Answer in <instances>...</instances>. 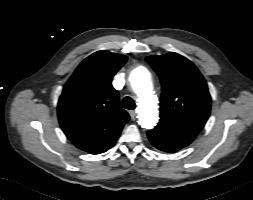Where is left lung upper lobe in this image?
Masks as SVG:
<instances>
[{"instance_id": "5c2ea615", "label": "left lung upper lobe", "mask_w": 253, "mask_h": 200, "mask_svg": "<svg viewBox=\"0 0 253 200\" xmlns=\"http://www.w3.org/2000/svg\"><path fill=\"white\" fill-rule=\"evenodd\" d=\"M146 61L162 84L159 123L198 133L204 127L211 108L208 87L199 70L174 52L149 56Z\"/></svg>"}]
</instances>
